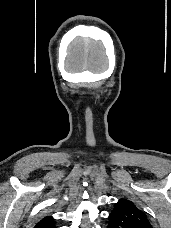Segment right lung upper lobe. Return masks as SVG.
I'll use <instances>...</instances> for the list:
<instances>
[{
    "label": "right lung upper lobe",
    "mask_w": 171,
    "mask_h": 228,
    "mask_svg": "<svg viewBox=\"0 0 171 228\" xmlns=\"http://www.w3.org/2000/svg\"><path fill=\"white\" fill-rule=\"evenodd\" d=\"M34 228H55L54 219L52 217H44L42 218Z\"/></svg>",
    "instance_id": "cb5924a9"
}]
</instances>
